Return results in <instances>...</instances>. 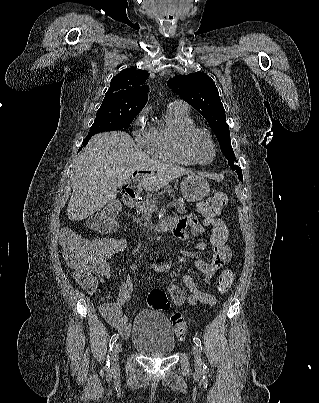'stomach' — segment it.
Masks as SVG:
<instances>
[{
	"label": "stomach",
	"instance_id": "obj_1",
	"mask_svg": "<svg viewBox=\"0 0 319 403\" xmlns=\"http://www.w3.org/2000/svg\"><path fill=\"white\" fill-rule=\"evenodd\" d=\"M180 190L185 200L197 202L209 194L210 187L205 178L190 174L183 179Z\"/></svg>",
	"mask_w": 319,
	"mask_h": 403
}]
</instances>
